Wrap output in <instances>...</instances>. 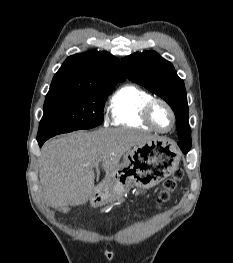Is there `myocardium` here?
<instances>
[{
    "label": "myocardium",
    "instance_id": "1",
    "mask_svg": "<svg viewBox=\"0 0 233 263\" xmlns=\"http://www.w3.org/2000/svg\"><path fill=\"white\" fill-rule=\"evenodd\" d=\"M156 104H162L170 113L171 125L168 129L159 128L153 120L152 111H153V108ZM142 118L146 124H148L152 129H154L155 131H157L159 133L170 132L176 124V115L174 113V110L172 109L170 104L162 98H152L148 102H146V104L144 105L143 110H142Z\"/></svg>",
    "mask_w": 233,
    "mask_h": 263
}]
</instances>
